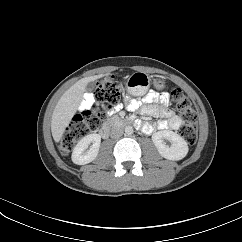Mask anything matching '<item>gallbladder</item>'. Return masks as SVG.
Instances as JSON below:
<instances>
[{"label":"gallbladder","instance_id":"bac80fb5","mask_svg":"<svg viewBox=\"0 0 242 242\" xmlns=\"http://www.w3.org/2000/svg\"><path fill=\"white\" fill-rule=\"evenodd\" d=\"M95 88V85L93 83H90L88 85V90H93Z\"/></svg>","mask_w":242,"mask_h":242}]
</instances>
